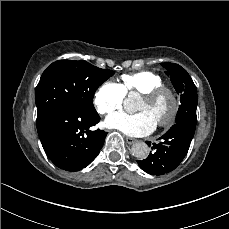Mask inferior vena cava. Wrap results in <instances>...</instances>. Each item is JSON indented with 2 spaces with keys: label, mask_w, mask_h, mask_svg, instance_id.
I'll return each mask as SVG.
<instances>
[{
  "label": "inferior vena cava",
  "mask_w": 229,
  "mask_h": 229,
  "mask_svg": "<svg viewBox=\"0 0 229 229\" xmlns=\"http://www.w3.org/2000/svg\"><path fill=\"white\" fill-rule=\"evenodd\" d=\"M139 145H141V144H135V145L132 147V150H135V151H136V150L139 148V147H138Z\"/></svg>",
  "instance_id": "602c4592"
}]
</instances>
